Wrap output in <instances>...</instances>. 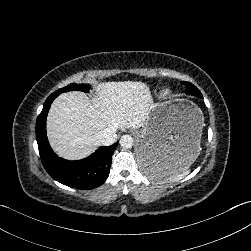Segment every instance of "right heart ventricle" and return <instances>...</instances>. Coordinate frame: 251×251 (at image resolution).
<instances>
[{
	"instance_id": "right-heart-ventricle-1",
	"label": "right heart ventricle",
	"mask_w": 251,
	"mask_h": 251,
	"mask_svg": "<svg viewBox=\"0 0 251 251\" xmlns=\"http://www.w3.org/2000/svg\"><path fill=\"white\" fill-rule=\"evenodd\" d=\"M170 94H171V91H170L169 89H165V90L160 91V92L156 95V97H157L158 99H165V98H167L168 96H170Z\"/></svg>"
}]
</instances>
